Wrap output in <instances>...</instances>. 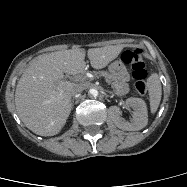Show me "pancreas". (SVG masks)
I'll return each instance as SVG.
<instances>
[{"label":"pancreas","instance_id":"cf45deb5","mask_svg":"<svg viewBox=\"0 0 187 187\" xmlns=\"http://www.w3.org/2000/svg\"><path fill=\"white\" fill-rule=\"evenodd\" d=\"M100 75L104 76L106 79H111V75L107 72H100ZM112 87L113 90L115 92V94H117L118 96H122L125 95L126 93H128L129 91V85L119 81L117 79H112Z\"/></svg>","mask_w":187,"mask_h":187}]
</instances>
